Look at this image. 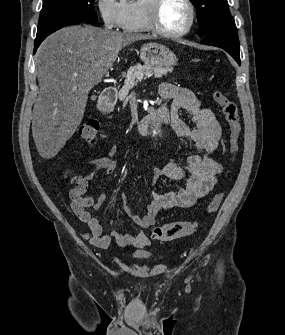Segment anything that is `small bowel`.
<instances>
[{"instance_id": "obj_1", "label": "small bowel", "mask_w": 285, "mask_h": 335, "mask_svg": "<svg viewBox=\"0 0 285 335\" xmlns=\"http://www.w3.org/2000/svg\"><path fill=\"white\" fill-rule=\"evenodd\" d=\"M159 93L163 100L171 102V125L175 134L189 141L195 153L188 156L185 167L170 162L162 168L153 169V182L160 177H167L183 181V186L177 191L154 190L145 215L134 214L127 204L126 195L124 193L121 195L122 210L141 229L153 226L162 210L193 206L214 188L222 171L221 163L214 157L222 137V128L214 113L202 107L197 96L187 88L163 83ZM181 110L188 113L191 124L181 117ZM116 154L117 147L114 146L110 149L108 157L91 161L86 174L77 179L75 187L70 192L71 209L76 217L87 225L88 230L83 232L82 236L92 245L107 247L114 239L118 244H129L142 249L149 243L144 232L127 234L114 230L110 234H105L99 221L88 212V208L98 209L105 205L106 193L96 198L83 196L88 181L96 171L105 170L107 175H112L116 171L117 163L114 160Z\"/></svg>"}]
</instances>
